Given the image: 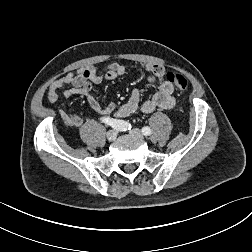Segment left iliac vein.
Instances as JSON below:
<instances>
[{
    "instance_id": "4c4485c4",
    "label": "left iliac vein",
    "mask_w": 252,
    "mask_h": 252,
    "mask_svg": "<svg viewBox=\"0 0 252 252\" xmlns=\"http://www.w3.org/2000/svg\"><path fill=\"white\" fill-rule=\"evenodd\" d=\"M130 134L133 135V136H136V137H138V138H142V137H143L141 131H140L139 129H136V128H135V129H132V130L130 131Z\"/></svg>"
}]
</instances>
